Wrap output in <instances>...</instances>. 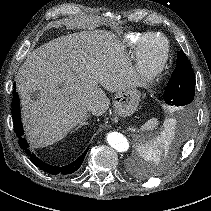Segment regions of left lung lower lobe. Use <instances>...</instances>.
Wrapping results in <instances>:
<instances>
[{"mask_svg":"<svg viewBox=\"0 0 211 211\" xmlns=\"http://www.w3.org/2000/svg\"><path fill=\"white\" fill-rule=\"evenodd\" d=\"M191 123V116L189 113L188 109L182 110V112L179 115V122H178V135L182 134L190 125ZM176 146V142L175 144H173L174 148Z\"/></svg>","mask_w":211,"mask_h":211,"instance_id":"0a47b994","label":"left lung lower lobe"}]
</instances>
